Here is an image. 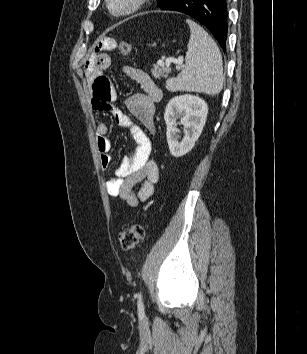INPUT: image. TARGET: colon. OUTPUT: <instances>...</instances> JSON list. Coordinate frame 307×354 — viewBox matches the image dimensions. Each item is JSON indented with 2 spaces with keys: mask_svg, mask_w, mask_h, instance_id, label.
I'll return each instance as SVG.
<instances>
[{
  "mask_svg": "<svg viewBox=\"0 0 307 354\" xmlns=\"http://www.w3.org/2000/svg\"><path fill=\"white\" fill-rule=\"evenodd\" d=\"M119 51L122 55L127 56L131 53V44L122 41L118 45ZM145 228L142 223H133L124 229L119 235V241L122 248L126 251L135 249L140 241L144 238Z\"/></svg>",
  "mask_w": 307,
  "mask_h": 354,
  "instance_id": "5ec220e1",
  "label": "colon"
}]
</instances>
